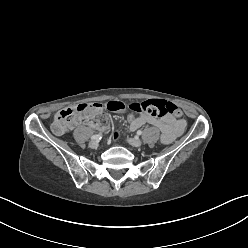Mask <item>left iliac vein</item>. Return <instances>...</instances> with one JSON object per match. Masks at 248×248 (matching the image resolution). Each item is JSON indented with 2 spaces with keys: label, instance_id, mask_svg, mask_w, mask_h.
I'll use <instances>...</instances> for the list:
<instances>
[{
  "label": "left iliac vein",
  "instance_id": "1",
  "mask_svg": "<svg viewBox=\"0 0 248 248\" xmlns=\"http://www.w3.org/2000/svg\"><path fill=\"white\" fill-rule=\"evenodd\" d=\"M127 142L134 147H140L142 145V141L138 138H128Z\"/></svg>",
  "mask_w": 248,
  "mask_h": 248
}]
</instances>
